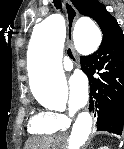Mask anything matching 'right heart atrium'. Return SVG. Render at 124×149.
Listing matches in <instances>:
<instances>
[{
	"label": "right heart atrium",
	"instance_id": "d8ad5b80",
	"mask_svg": "<svg viewBox=\"0 0 124 149\" xmlns=\"http://www.w3.org/2000/svg\"><path fill=\"white\" fill-rule=\"evenodd\" d=\"M52 114L54 115L55 119L61 126L66 127L68 125L69 118L66 115L61 113H52Z\"/></svg>",
	"mask_w": 124,
	"mask_h": 149
}]
</instances>
